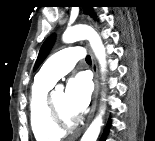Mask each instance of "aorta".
I'll list each match as a JSON object with an SVG mask.
<instances>
[{
  "label": "aorta",
  "mask_w": 155,
  "mask_h": 141,
  "mask_svg": "<svg viewBox=\"0 0 155 141\" xmlns=\"http://www.w3.org/2000/svg\"><path fill=\"white\" fill-rule=\"evenodd\" d=\"M62 38L65 43H73L75 41L84 39L88 40L91 48L94 51L96 58L99 61L102 73L105 72L106 70L105 48L100 36L93 28L87 25H76L66 29ZM103 112L104 111L102 109L100 111V114L93 120L91 125L88 127V129L82 136L81 141H97L102 126Z\"/></svg>",
  "instance_id": "1"
}]
</instances>
